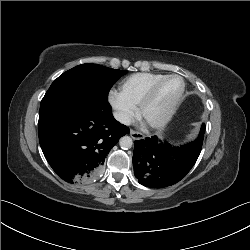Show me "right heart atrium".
Returning <instances> with one entry per match:
<instances>
[{
  "label": "right heart atrium",
  "mask_w": 250,
  "mask_h": 250,
  "mask_svg": "<svg viewBox=\"0 0 250 250\" xmlns=\"http://www.w3.org/2000/svg\"><path fill=\"white\" fill-rule=\"evenodd\" d=\"M109 102L116 113V118L123 124H128L135 116L136 108L115 90L108 95Z\"/></svg>",
  "instance_id": "right-heart-atrium-1"
}]
</instances>
